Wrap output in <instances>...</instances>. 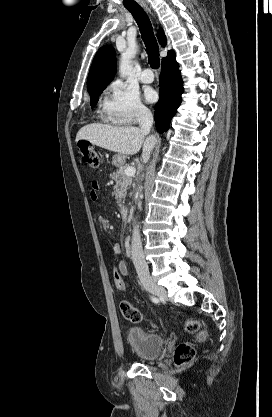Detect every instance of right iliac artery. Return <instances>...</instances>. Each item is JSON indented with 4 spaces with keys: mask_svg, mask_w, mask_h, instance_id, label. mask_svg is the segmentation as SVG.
Segmentation results:
<instances>
[{
    "mask_svg": "<svg viewBox=\"0 0 272 417\" xmlns=\"http://www.w3.org/2000/svg\"><path fill=\"white\" fill-rule=\"evenodd\" d=\"M151 300L154 303H158L159 302V299L157 297H155V296H151Z\"/></svg>",
    "mask_w": 272,
    "mask_h": 417,
    "instance_id": "right-iliac-artery-1",
    "label": "right iliac artery"
}]
</instances>
